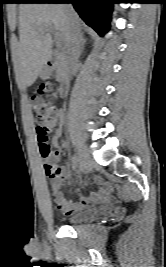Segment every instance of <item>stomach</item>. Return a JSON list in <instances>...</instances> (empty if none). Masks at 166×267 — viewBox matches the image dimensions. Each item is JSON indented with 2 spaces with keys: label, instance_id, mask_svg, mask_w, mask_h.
<instances>
[{
  "label": "stomach",
  "instance_id": "0dacf381",
  "mask_svg": "<svg viewBox=\"0 0 166 267\" xmlns=\"http://www.w3.org/2000/svg\"><path fill=\"white\" fill-rule=\"evenodd\" d=\"M49 75H50V70L46 67H44L39 74L41 79H47L49 77Z\"/></svg>",
  "mask_w": 166,
  "mask_h": 267
}]
</instances>
